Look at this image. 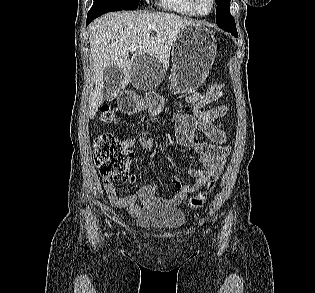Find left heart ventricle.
Here are the masks:
<instances>
[{"mask_svg": "<svg viewBox=\"0 0 315 293\" xmlns=\"http://www.w3.org/2000/svg\"><path fill=\"white\" fill-rule=\"evenodd\" d=\"M198 7L201 12H208L211 8V1L210 0H198Z\"/></svg>", "mask_w": 315, "mask_h": 293, "instance_id": "left-heart-ventricle-1", "label": "left heart ventricle"}]
</instances>
